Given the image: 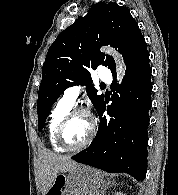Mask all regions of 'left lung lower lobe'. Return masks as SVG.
Masks as SVG:
<instances>
[{"instance_id": "1", "label": "left lung lower lobe", "mask_w": 178, "mask_h": 195, "mask_svg": "<svg viewBox=\"0 0 178 195\" xmlns=\"http://www.w3.org/2000/svg\"><path fill=\"white\" fill-rule=\"evenodd\" d=\"M112 103L103 116L106 102L98 110L100 126L90 146L72 157L73 160L109 173L125 172L144 180L147 172L149 109L151 101V68L145 52L126 67L118 86L114 75Z\"/></svg>"}]
</instances>
